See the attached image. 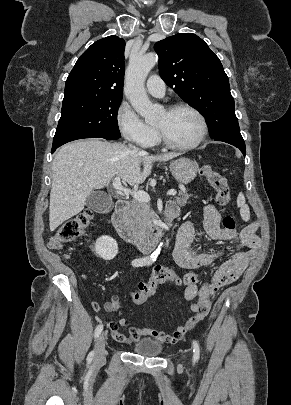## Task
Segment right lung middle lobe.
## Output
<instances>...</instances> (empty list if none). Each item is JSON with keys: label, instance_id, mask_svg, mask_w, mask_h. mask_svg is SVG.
Here are the masks:
<instances>
[{"label": "right lung middle lobe", "instance_id": "1", "mask_svg": "<svg viewBox=\"0 0 291 405\" xmlns=\"http://www.w3.org/2000/svg\"><path fill=\"white\" fill-rule=\"evenodd\" d=\"M121 101L122 97H117L63 103L52 149L82 138H120L117 111Z\"/></svg>", "mask_w": 291, "mask_h": 405}]
</instances>
